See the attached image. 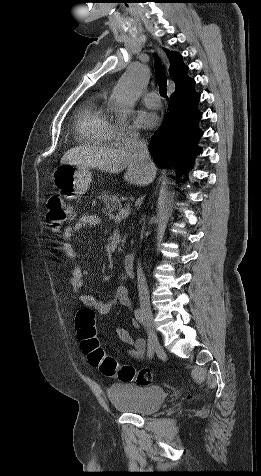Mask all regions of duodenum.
<instances>
[{"label": "duodenum", "mask_w": 261, "mask_h": 476, "mask_svg": "<svg viewBox=\"0 0 261 476\" xmlns=\"http://www.w3.org/2000/svg\"><path fill=\"white\" fill-rule=\"evenodd\" d=\"M135 255L134 254H126L124 258V268L125 271L128 275H134L135 274Z\"/></svg>", "instance_id": "410a0bca"}]
</instances>
